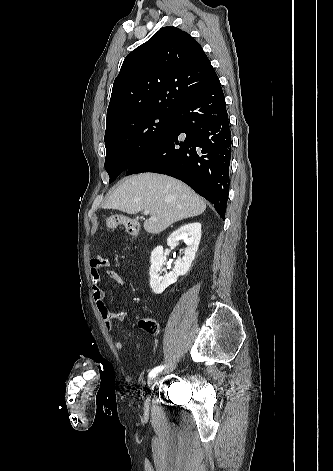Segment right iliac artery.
I'll list each match as a JSON object with an SVG mask.
<instances>
[{
	"label": "right iliac artery",
	"mask_w": 333,
	"mask_h": 471,
	"mask_svg": "<svg viewBox=\"0 0 333 471\" xmlns=\"http://www.w3.org/2000/svg\"><path fill=\"white\" fill-rule=\"evenodd\" d=\"M164 368H165V366H157L149 372L148 376L149 377L155 376L158 372L162 371Z\"/></svg>",
	"instance_id": "obj_1"
}]
</instances>
